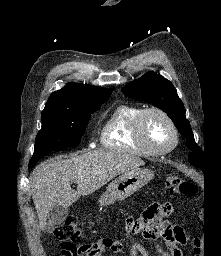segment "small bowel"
Instances as JSON below:
<instances>
[{"label": "small bowel", "instance_id": "1", "mask_svg": "<svg viewBox=\"0 0 221 256\" xmlns=\"http://www.w3.org/2000/svg\"><path fill=\"white\" fill-rule=\"evenodd\" d=\"M171 213L170 203L152 204L141 216L128 217L125 221V230L128 234H141L147 242L155 245L158 256H183L180 246L185 243V234L181 227L166 220ZM158 239L164 241L165 249L157 245ZM122 249V241L104 238L79 246L77 254L62 256H105L106 253L123 256ZM128 256H151V252L142 243L133 242L129 247Z\"/></svg>", "mask_w": 221, "mask_h": 256}]
</instances>
